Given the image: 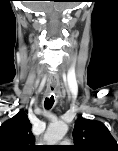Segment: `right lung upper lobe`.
<instances>
[{
    "instance_id": "right-lung-upper-lobe-1",
    "label": "right lung upper lobe",
    "mask_w": 118,
    "mask_h": 151,
    "mask_svg": "<svg viewBox=\"0 0 118 151\" xmlns=\"http://www.w3.org/2000/svg\"><path fill=\"white\" fill-rule=\"evenodd\" d=\"M27 111L20 110L0 126V151H32L36 149Z\"/></svg>"
}]
</instances>
